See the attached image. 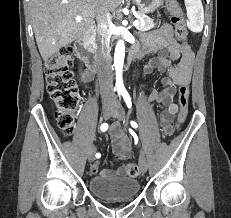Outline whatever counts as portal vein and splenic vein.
Instances as JSON below:
<instances>
[{"mask_svg": "<svg viewBox=\"0 0 231 218\" xmlns=\"http://www.w3.org/2000/svg\"><path fill=\"white\" fill-rule=\"evenodd\" d=\"M79 19H81V17H77V18H76V20H79ZM141 20H142V19H141ZM139 24H140V21H139V20H135L134 23H133V25H134L135 27H137Z\"/></svg>", "mask_w": 231, "mask_h": 218, "instance_id": "portal-vein-and-splenic-vein-1", "label": "portal vein and splenic vein"}]
</instances>
